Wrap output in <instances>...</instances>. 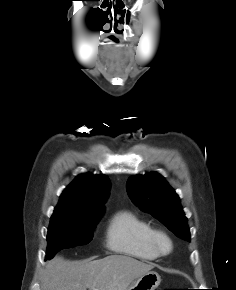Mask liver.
I'll return each mask as SVG.
<instances>
[{
	"mask_svg": "<svg viewBox=\"0 0 236 290\" xmlns=\"http://www.w3.org/2000/svg\"><path fill=\"white\" fill-rule=\"evenodd\" d=\"M153 268V264L124 255L82 261L54 257L46 265L42 290H127Z\"/></svg>",
	"mask_w": 236,
	"mask_h": 290,
	"instance_id": "liver-1",
	"label": "liver"
}]
</instances>
